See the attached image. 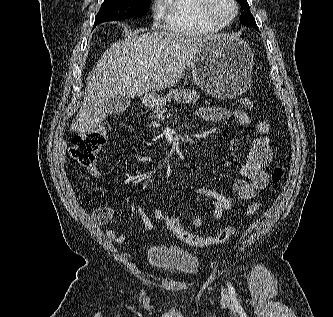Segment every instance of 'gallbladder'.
Returning a JSON list of instances; mask_svg holds the SVG:
<instances>
[{"instance_id":"1","label":"gallbladder","mask_w":333,"mask_h":317,"mask_svg":"<svg viewBox=\"0 0 333 317\" xmlns=\"http://www.w3.org/2000/svg\"><path fill=\"white\" fill-rule=\"evenodd\" d=\"M130 103V98L114 96L107 101L105 109L108 114L118 115L124 113L129 108Z\"/></svg>"}]
</instances>
